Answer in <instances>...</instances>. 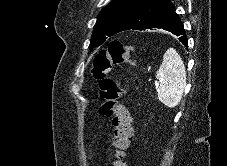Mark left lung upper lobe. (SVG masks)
I'll list each match as a JSON object with an SVG mask.
<instances>
[{
	"label": "left lung upper lobe",
	"instance_id": "left-lung-upper-lobe-1",
	"mask_svg": "<svg viewBox=\"0 0 227 166\" xmlns=\"http://www.w3.org/2000/svg\"><path fill=\"white\" fill-rule=\"evenodd\" d=\"M147 0H113L102 9L94 26L89 48L100 46L108 37L129 30Z\"/></svg>",
	"mask_w": 227,
	"mask_h": 166
}]
</instances>
